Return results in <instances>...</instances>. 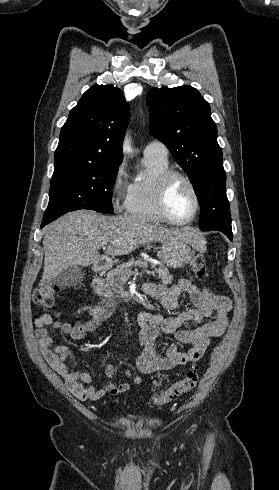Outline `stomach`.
Returning a JSON list of instances; mask_svg holds the SVG:
<instances>
[{
    "instance_id": "1",
    "label": "stomach",
    "mask_w": 279,
    "mask_h": 490,
    "mask_svg": "<svg viewBox=\"0 0 279 490\" xmlns=\"http://www.w3.org/2000/svg\"><path fill=\"white\" fill-rule=\"evenodd\" d=\"M190 246L191 244L187 240H183L181 236H175L169 242H162L158 258L163 264H166L167 268H174V270L184 268L186 264H190L195 254Z\"/></svg>"
}]
</instances>
